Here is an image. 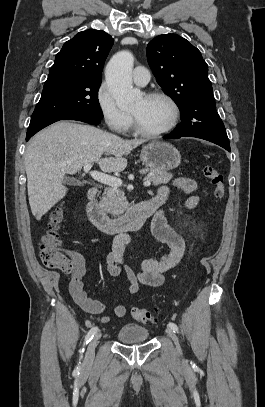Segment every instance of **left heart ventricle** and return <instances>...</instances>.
Masks as SVG:
<instances>
[{
	"instance_id": "b2bd125f",
	"label": "left heart ventricle",
	"mask_w": 265,
	"mask_h": 407,
	"mask_svg": "<svg viewBox=\"0 0 265 407\" xmlns=\"http://www.w3.org/2000/svg\"><path fill=\"white\" fill-rule=\"evenodd\" d=\"M139 124L146 131H159L172 120V108L162 99L147 100L141 97L131 110Z\"/></svg>"
}]
</instances>
